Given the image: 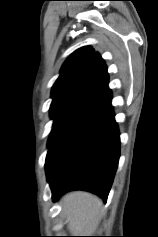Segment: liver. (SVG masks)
Masks as SVG:
<instances>
[{
    "label": "liver",
    "mask_w": 158,
    "mask_h": 237,
    "mask_svg": "<svg viewBox=\"0 0 158 237\" xmlns=\"http://www.w3.org/2000/svg\"><path fill=\"white\" fill-rule=\"evenodd\" d=\"M63 209L69 217V230L73 236H90L98 226L102 201L87 192L75 191L64 196Z\"/></svg>",
    "instance_id": "liver-1"
}]
</instances>
